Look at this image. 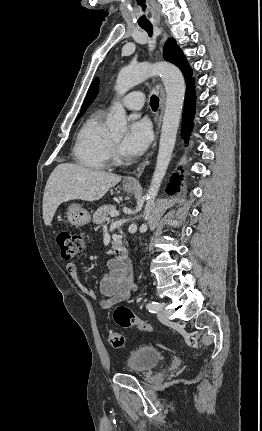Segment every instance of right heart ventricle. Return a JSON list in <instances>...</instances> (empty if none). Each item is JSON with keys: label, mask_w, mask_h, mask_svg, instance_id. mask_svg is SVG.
Masks as SVG:
<instances>
[{"label": "right heart ventricle", "mask_w": 262, "mask_h": 431, "mask_svg": "<svg viewBox=\"0 0 262 431\" xmlns=\"http://www.w3.org/2000/svg\"><path fill=\"white\" fill-rule=\"evenodd\" d=\"M103 111L91 114L79 129L73 152L77 161L89 169H104L111 153V136L103 124Z\"/></svg>", "instance_id": "obj_1"}]
</instances>
